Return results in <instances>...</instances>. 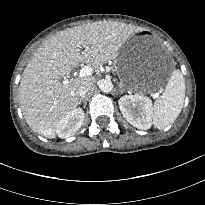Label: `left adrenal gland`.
<instances>
[{"label":"left adrenal gland","instance_id":"obj_1","mask_svg":"<svg viewBox=\"0 0 205 205\" xmlns=\"http://www.w3.org/2000/svg\"><path fill=\"white\" fill-rule=\"evenodd\" d=\"M125 91V89L122 87V84L119 83V92L123 93Z\"/></svg>","mask_w":205,"mask_h":205}]
</instances>
